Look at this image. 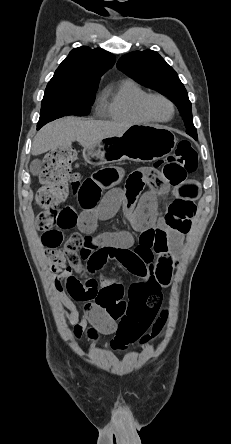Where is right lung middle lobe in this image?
I'll list each match as a JSON object with an SVG mask.
<instances>
[{"mask_svg": "<svg viewBox=\"0 0 231 444\" xmlns=\"http://www.w3.org/2000/svg\"><path fill=\"white\" fill-rule=\"evenodd\" d=\"M97 90L46 89L41 103L37 129L47 122L66 115L85 116Z\"/></svg>", "mask_w": 231, "mask_h": 444, "instance_id": "1", "label": "right lung middle lobe"}]
</instances>
